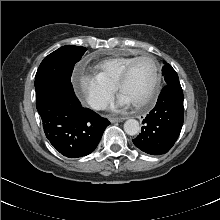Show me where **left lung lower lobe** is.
Segmentation results:
<instances>
[{
  "label": "left lung lower lobe",
  "instance_id": "left-lung-lower-lobe-1",
  "mask_svg": "<svg viewBox=\"0 0 220 220\" xmlns=\"http://www.w3.org/2000/svg\"><path fill=\"white\" fill-rule=\"evenodd\" d=\"M183 119V91L180 82L167 84L155 107L143 120L144 126L133 140L134 145L152 155L167 153L180 134Z\"/></svg>",
  "mask_w": 220,
  "mask_h": 220
}]
</instances>
